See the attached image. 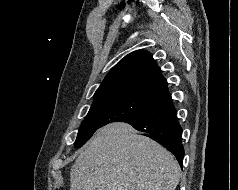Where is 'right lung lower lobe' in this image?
<instances>
[{
    "mask_svg": "<svg viewBox=\"0 0 238 190\" xmlns=\"http://www.w3.org/2000/svg\"><path fill=\"white\" fill-rule=\"evenodd\" d=\"M123 122L148 133L153 140L174 154L180 166L183 165L182 128L170 94L146 111Z\"/></svg>",
    "mask_w": 238,
    "mask_h": 190,
    "instance_id": "1",
    "label": "right lung lower lobe"
}]
</instances>
